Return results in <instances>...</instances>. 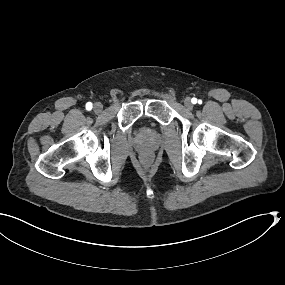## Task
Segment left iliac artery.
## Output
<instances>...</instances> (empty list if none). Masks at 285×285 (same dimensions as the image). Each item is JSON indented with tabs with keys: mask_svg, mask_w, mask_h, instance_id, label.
Masks as SVG:
<instances>
[{
	"mask_svg": "<svg viewBox=\"0 0 285 285\" xmlns=\"http://www.w3.org/2000/svg\"><path fill=\"white\" fill-rule=\"evenodd\" d=\"M197 102L196 98H192V103L195 104Z\"/></svg>",
	"mask_w": 285,
	"mask_h": 285,
	"instance_id": "1",
	"label": "left iliac artery"
}]
</instances>
